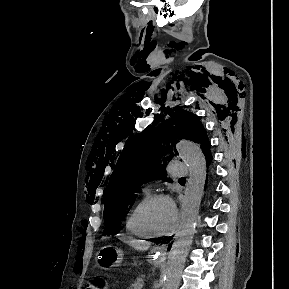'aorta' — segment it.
Here are the masks:
<instances>
[{
    "label": "aorta",
    "mask_w": 289,
    "mask_h": 289,
    "mask_svg": "<svg viewBox=\"0 0 289 289\" xmlns=\"http://www.w3.org/2000/svg\"><path fill=\"white\" fill-rule=\"evenodd\" d=\"M180 158L187 164L189 179L186 183L180 213V225L168 255L162 289H178L186 258L190 250L203 196L207 165L200 147L182 140L176 146Z\"/></svg>",
    "instance_id": "1"
}]
</instances>
